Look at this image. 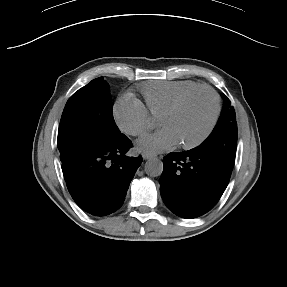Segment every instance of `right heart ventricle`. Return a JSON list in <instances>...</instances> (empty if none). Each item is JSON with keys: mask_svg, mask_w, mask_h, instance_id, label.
<instances>
[{"mask_svg": "<svg viewBox=\"0 0 287 287\" xmlns=\"http://www.w3.org/2000/svg\"><path fill=\"white\" fill-rule=\"evenodd\" d=\"M197 86V83L189 80L157 81L145 84L141 92L151 115L161 118L181 95Z\"/></svg>", "mask_w": 287, "mask_h": 287, "instance_id": "obj_1", "label": "right heart ventricle"}]
</instances>
